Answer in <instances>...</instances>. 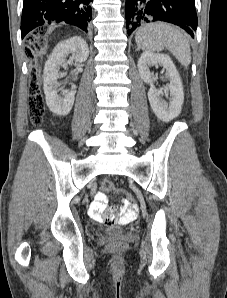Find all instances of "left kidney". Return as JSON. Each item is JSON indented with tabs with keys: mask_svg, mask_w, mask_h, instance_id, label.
I'll return each instance as SVG.
<instances>
[{
	"mask_svg": "<svg viewBox=\"0 0 227 298\" xmlns=\"http://www.w3.org/2000/svg\"><path fill=\"white\" fill-rule=\"evenodd\" d=\"M160 65L166 69V76L170 83L165 89H156L153 85L154 79L150 72V67ZM138 69L142 80L150 84L148 99L155 115L162 121H170L177 117L181 112V106L184 101L183 85L179 73L166 54L144 52L138 60ZM170 94L169 102L163 100L161 96Z\"/></svg>",
	"mask_w": 227,
	"mask_h": 298,
	"instance_id": "5707ae66",
	"label": "left kidney"
}]
</instances>
